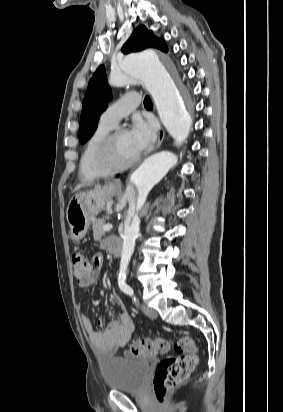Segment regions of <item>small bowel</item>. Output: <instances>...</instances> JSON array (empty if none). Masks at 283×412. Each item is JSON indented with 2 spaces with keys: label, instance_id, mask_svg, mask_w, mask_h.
Segmentation results:
<instances>
[{
  "label": "small bowel",
  "instance_id": "obj_1",
  "mask_svg": "<svg viewBox=\"0 0 283 412\" xmlns=\"http://www.w3.org/2000/svg\"><path fill=\"white\" fill-rule=\"evenodd\" d=\"M114 239H106L103 242V246L110 248ZM95 257L100 259V263L91 270L88 279L80 283L84 287L94 285L98 279V270L102 266V257L98 254ZM116 301L119 304V315L116 319L111 320L102 332H97L93 329L92 323L87 316H80L82 329L88 335L93 350L99 357L113 356L119 351H123L127 357H133V354L128 351V345L134 330V324L126 308L118 299ZM97 324L103 327L105 323L102 318H99Z\"/></svg>",
  "mask_w": 283,
  "mask_h": 412
}]
</instances>
